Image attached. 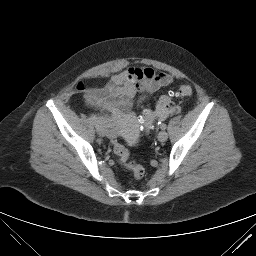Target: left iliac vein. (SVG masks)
<instances>
[{
  "instance_id": "left-iliac-vein-1",
  "label": "left iliac vein",
  "mask_w": 256,
  "mask_h": 256,
  "mask_svg": "<svg viewBox=\"0 0 256 256\" xmlns=\"http://www.w3.org/2000/svg\"><path fill=\"white\" fill-rule=\"evenodd\" d=\"M167 138H168L167 132H165V131H160V132H159V134H158V140H159L160 142H165V141L167 140Z\"/></svg>"
}]
</instances>
